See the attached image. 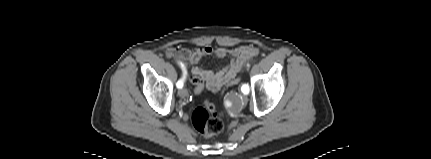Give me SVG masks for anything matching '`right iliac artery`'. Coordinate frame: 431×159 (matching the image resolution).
I'll list each match as a JSON object with an SVG mask.
<instances>
[{
    "mask_svg": "<svg viewBox=\"0 0 431 159\" xmlns=\"http://www.w3.org/2000/svg\"><path fill=\"white\" fill-rule=\"evenodd\" d=\"M185 75H186V72L184 71V73H183V77L177 82V84H176V86L178 87V88H182L183 87V85H184V80H185Z\"/></svg>",
    "mask_w": 431,
    "mask_h": 159,
    "instance_id": "right-iliac-artery-1",
    "label": "right iliac artery"
}]
</instances>
